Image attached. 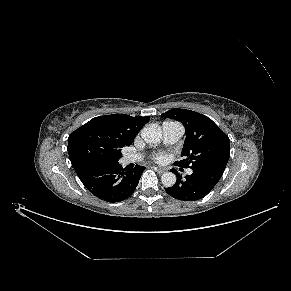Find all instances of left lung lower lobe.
<instances>
[{
    "mask_svg": "<svg viewBox=\"0 0 291 291\" xmlns=\"http://www.w3.org/2000/svg\"><path fill=\"white\" fill-rule=\"evenodd\" d=\"M193 173L182 175L173 171L177 176L176 184L165 188V191L175 199L195 201L205 197L218 183L225 169L217 167H195Z\"/></svg>",
    "mask_w": 291,
    "mask_h": 291,
    "instance_id": "1",
    "label": "left lung lower lobe"
}]
</instances>
